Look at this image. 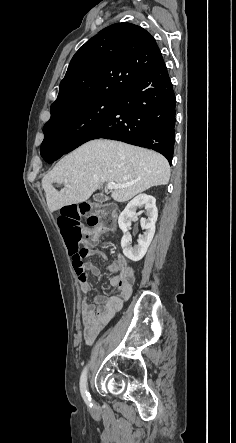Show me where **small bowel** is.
Segmentation results:
<instances>
[{"instance_id":"c3829d8e","label":"small bowel","mask_w":236,"mask_h":443,"mask_svg":"<svg viewBox=\"0 0 236 443\" xmlns=\"http://www.w3.org/2000/svg\"><path fill=\"white\" fill-rule=\"evenodd\" d=\"M87 232L90 234V238L86 242L90 246V256L107 259L106 255L96 248L100 233L96 229L87 230ZM107 269L113 274L109 283L111 287L115 288V293L110 296L96 295L92 301L86 300L81 305L83 338L88 345L94 342L113 313L129 297L134 282V271L121 255L110 262ZM74 271L81 291L86 295L90 294L93 288L89 280V273L93 276H100L99 267L92 262H86L82 268H74Z\"/></svg>"}]
</instances>
